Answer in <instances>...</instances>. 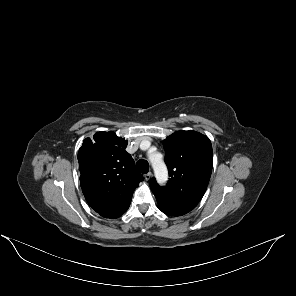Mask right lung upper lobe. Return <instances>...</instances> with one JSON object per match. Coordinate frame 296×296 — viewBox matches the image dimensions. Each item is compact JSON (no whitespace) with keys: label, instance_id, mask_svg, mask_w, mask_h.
Returning a JSON list of instances; mask_svg holds the SVG:
<instances>
[{"label":"right lung upper lobe","instance_id":"obj_1","mask_svg":"<svg viewBox=\"0 0 296 296\" xmlns=\"http://www.w3.org/2000/svg\"><path fill=\"white\" fill-rule=\"evenodd\" d=\"M86 138L78 152L80 184L95 210L130 204L133 191L144 177L125 151L128 142L112 131Z\"/></svg>","mask_w":296,"mask_h":296}]
</instances>
